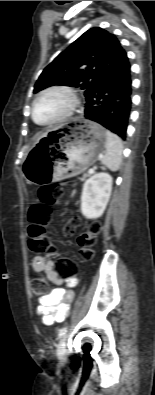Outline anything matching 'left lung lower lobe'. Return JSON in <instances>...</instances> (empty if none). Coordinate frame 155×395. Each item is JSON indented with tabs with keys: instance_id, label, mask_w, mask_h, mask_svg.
Segmentation results:
<instances>
[{
	"instance_id": "0a47b994",
	"label": "left lung lower lobe",
	"mask_w": 155,
	"mask_h": 395,
	"mask_svg": "<svg viewBox=\"0 0 155 395\" xmlns=\"http://www.w3.org/2000/svg\"><path fill=\"white\" fill-rule=\"evenodd\" d=\"M131 65L128 57L120 60L102 78L86 98L85 117L126 139L131 111Z\"/></svg>"
}]
</instances>
